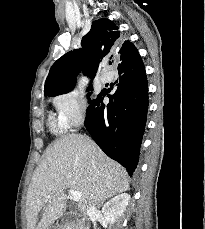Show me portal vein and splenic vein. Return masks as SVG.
Listing matches in <instances>:
<instances>
[{
	"label": "portal vein and splenic vein",
	"instance_id": "18ae733b",
	"mask_svg": "<svg viewBox=\"0 0 205 229\" xmlns=\"http://www.w3.org/2000/svg\"><path fill=\"white\" fill-rule=\"evenodd\" d=\"M69 195H70V198L73 200V201H79L81 199V192L77 191V190H74V189H70L69 191ZM51 196L48 195L47 198H50Z\"/></svg>",
	"mask_w": 205,
	"mask_h": 229
}]
</instances>
